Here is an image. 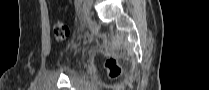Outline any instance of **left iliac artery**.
I'll list each match as a JSON object with an SVG mask.
<instances>
[{"label": "left iliac artery", "instance_id": "44dca946", "mask_svg": "<svg viewBox=\"0 0 209 90\" xmlns=\"http://www.w3.org/2000/svg\"><path fill=\"white\" fill-rule=\"evenodd\" d=\"M75 3L77 8L79 9L80 8L79 6L82 5V0H76Z\"/></svg>", "mask_w": 209, "mask_h": 90}]
</instances>
